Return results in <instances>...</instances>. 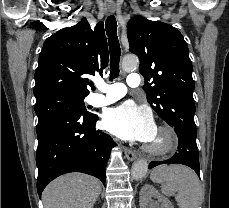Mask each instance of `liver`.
I'll list each match as a JSON object with an SVG mask.
<instances>
[{
    "label": "liver",
    "instance_id": "6515ba94",
    "mask_svg": "<svg viewBox=\"0 0 229 208\" xmlns=\"http://www.w3.org/2000/svg\"><path fill=\"white\" fill-rule=\"evenodd\" d=\"M101 182L85 174H65L53 180L44 192V208H93L101 194Z\"/></svg>",
    "mask_w": 229,
    "mask_h": 208
}]
</instances>
